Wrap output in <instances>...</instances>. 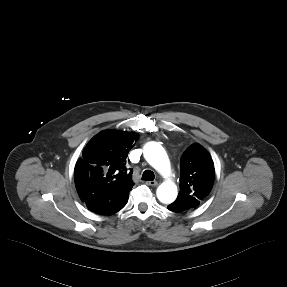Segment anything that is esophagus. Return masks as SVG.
<instances>
[{"label":"esophagus","instance_id":"34e87169","mask_svg":"<svg viewBox=\"0 0 287 287\" xmlns=\"http://www.w3.org/2000/svg\"><path fill=\"white\" fill-rule=\"evenodd\" d=\"M146 184L148 186H157L158 185V182L157 181H147Z\"/></svg>","mask_w":287,"mask_h":287}]
</instances>
